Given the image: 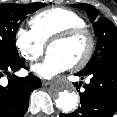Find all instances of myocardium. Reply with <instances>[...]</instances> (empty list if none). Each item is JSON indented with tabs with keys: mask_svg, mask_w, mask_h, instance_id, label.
<instances>
[{
	"mask_svg": "<svg viewBox=\"0 0 117 117\" xmlns=\"http://www.w3.org/2000/svg\"><path fill=\"white\" fill-rule=\"evenodd\" d=\"M80 37H84L87 40V49L83 57L71 65V69L80 70L91 61L96 46L94 34L87 27H74L58 33L50 39L47 50L54 44L65 43Z\"/></svg>",
	"mask_w": 117,
	"mask_h": 117,
	"instance_id": "1",
	"label": "myocardium"
}]
</instances>
